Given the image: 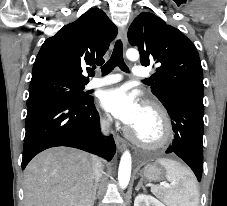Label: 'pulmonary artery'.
Returning <instances> with one entry per match:
<instances>
[{"instance_id":"obj_1","label":"pulmonary artery","mask_w":227,"mask_h":206,"mask_svg":"<svg viewBox=\"0 0 227 206\" xmlns=\"http://www.w3.org/2000/svg\"><path fill=\"white\" fill-rule=\"evenodd\" d=\"M132 76L135 78H146L149 76V72L142 66H134L132 69ZM121 79L122 76L120 74H109L103 77L93 78L87 83L86 88L93 89L110 85L119 82Z\"/></svg>"}]
</instances>
